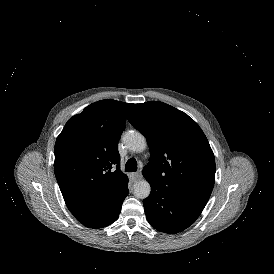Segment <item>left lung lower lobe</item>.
I'll use <instances>...</instances> for the list:
<instances>
[{"mask_svg": "<svg viewBox=\"0 0 274 274\" xmlns=\"http://www.w3.org/2000/svg\"><path fill=\"white\" fill-rule=\"evenodd\" d=\"M150 195L143 200L148 222L158 231L178 233L189 227L201 214L206 201L189 198L160 184L148 181Z\"/></svg>", "mask_w": 274, "mask_h": 274, "instance_id": "left-lung-lower-lobe-1", "label": "left lung lower lobe"}]
</instances>
